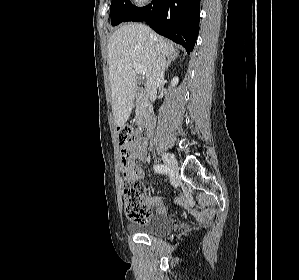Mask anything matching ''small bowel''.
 <instances>
[{"label":"small bowel","mask_w":299,"mask_h":280,"mask_svg":"<svg viewBox=\"0 0 299 280\" xmlns=\"http://www.w3.org/2000/svg\"><path fill=\"white\" fill-rule=\"evenodd\" d=\"M127 150H128V172L130 177L133 179H143L144 173L140 167L134 165V160H139V161L146 160L147 142L142 137H135V139L127 146ZM142 199L150 209L151 207H156L157 213L164 214L166 212V207L164 206L161 198L149 197L143 192ZM177 202L182 204L185 208H187L199 220H206L211 216L210 210L198 212L188 202L180 198L177 199Z\"/></svg>","instance_id":"obj_1"}]
</instances>
